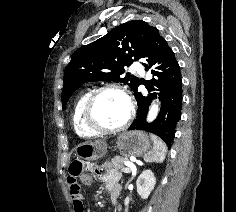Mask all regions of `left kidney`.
Segmentation results:
<instances>
[{
	"instance_id": "1",
	"label": "left kidney",
	"mask_w": 236,
	"mask_h": 212,
	"mask_svg": "<svg viewBox=\"0 0 236 212\" xmlns=\"http://www.w3.org/2000/svg\"><path fill=\"white\" fill-rule=\"evenodd\" d=\"M156 184V178L151 170H145L136 181L137 192L142 199H147Z\"/></svg>"
}]
</instances>
